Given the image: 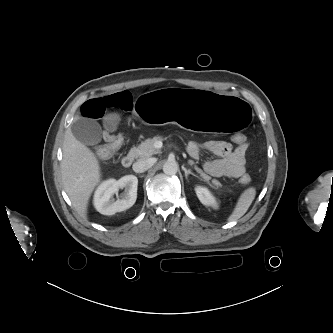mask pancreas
<instances>
[{
  "label": "pancreas",
  "instance_id": "obj_1",
  "mask_svg": "<svg viewBox=\"0 0 333 333\" xmlns=\"http://www.w3.org/2000/svg\"><path fill=\"white\" fill-rule=\"evenodd\" d=\"M162 140L163 138L161 136L148 138L144 142H142L137 148H132L129 152V155L134 158L145 159L152 156L153 154H157L159 153V150H157L154 145L157 141ZM196 170L205 181H209L211 179V177L204 173L200 168H196ZM212 184L217 188L221 187V183L216 179L212 180Z\"/></svg>",
  "mask_w": 333,
  "mask_h": 333
}]
</instances>
